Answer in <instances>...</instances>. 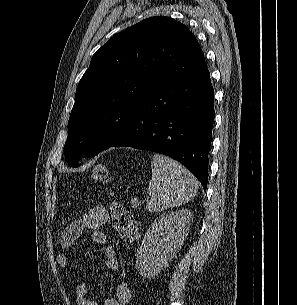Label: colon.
Segmentation results:
<instances>
[{"instance_id": "colon-1", "label": "colon", "mask_w": 297, "mask_h": 305, "mask_svg": "<svg viewBox=\"0 0 297 305\" xmlns=\"http://www.w3.org/2000/svg\"><path fill=\"white\" fill-rule=\"evenodd\" d=\"M93 180L101 184H106L110 181L109 170L105 163L100 162L95 165L93 169ZM109 211L115 230L129 242L136 240L138 226L133 219L131 211L115 201L110 203Z\"/></svg>"}]
</instances>
